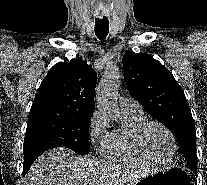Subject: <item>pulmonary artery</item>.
Segmentation results:
<instances>
[{
	"label": "pulmonary artery",
	"instance_id": "obj_1",
	"mask_svg": "<svg viewBox=\"0 0 207 185\" xmlns=\"http://www.w3.org/2000/svg\"><path fill=\"white\" fill-rule=\"evenodd\" d=\"M120 108L122 111L140 113V104L132 98L122 97L120 99Z\"/></svg>",
	"mask_w": 207,
	"mask_h": 185
}]
</instances>
